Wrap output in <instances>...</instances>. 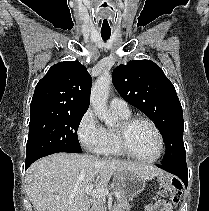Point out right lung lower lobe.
Segmentation results:
<instances>
[{
	"label": "right lung lower lobe",
	"instance_id": "right-lung-lower-lobe-1",
	"mask_svg": "<svg viewBox=\"0 0 209 211\" xmlns=\"http://www.w3.org/2000/svg\"><path fill=\"white\" fill-rule=\"evenodd\" d=\"M31 164H25V169H27Z\"/></svg>",
	"mask_w": 209,
	"mask_h": 211
}]
</instances>
